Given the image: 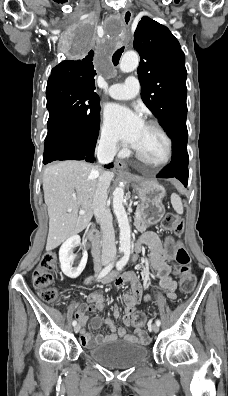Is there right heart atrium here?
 Listing matches in <instances>:
<instances>
[{"instance_id":"1","label":"right heart atrium","mask_w":228,"mask_h":396,"mask_svg":"<svg viewBox=\"0 0 228 396\" xmlns=\"http://www.w3.org/2000/svg\"><path fill=\"white\" fill-rule=\"evenodd\" d=\"M100 143L106 150L110 152L117 151L119 147L116 139L105 125L100 128Z\"/></svg>"}]
</instances>
